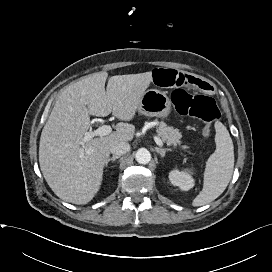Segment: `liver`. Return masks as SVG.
I'll use <instances>...</instances> for the list:
<instances>
[{
    "mask_svg": "<svg viewBox=\"0 0 272 272\" xmlns=\"http://www.w3.org/2000/svg\"><path fill=\"white\" fill-rule=\"evenodd\" d=\"M107 76V72L90 74L64 89L41 133L42 174L52 191L66 202H90L100 189L111 146L134 137L135 126L120 122L111 134L82 144L90 115L112 113L119 120L131 121L152 81V72L116 75L109 78L105 91Z\"/></svg>",
    "mask_w": 272,
    "mask_h": 272,
    "instance_id": "1",
    "label": "liver"
}]
</instances>
